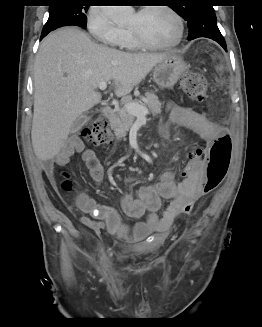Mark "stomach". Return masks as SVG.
I'll use <instances>...</instances> for the list:
<instances>
[{
	"mask_svg": "<svg viewBox=\"0 0 262 327\" xmlns=\"http://www.w3.org/2000/svg\"><path fill=\"white\" fill-rule=\"evenodd\" d=\"M186 70L187 64L180 56L170 55L155 66L153 78L161 89H171Z\"/></svg>",
	"mask_w": 262,
	"mask_h": 327,
	"instance_id": "stomach-1",
	"label": "stomach"
}]
</instances>
